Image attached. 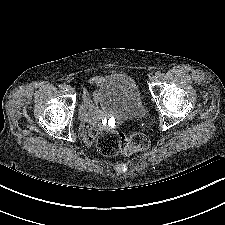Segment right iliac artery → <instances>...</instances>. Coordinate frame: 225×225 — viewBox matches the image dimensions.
Instances as JSON below:
<instances>
[{"mask_svg": "<svg viewBox=\"0 0 225 225\" xmlns=\"http://www.w3.org/2000/svg\"><path fill=\"white\" fill-rule=\"evenodd\" d=\"M61 89L67 91V90H68V85L62 84V85H61Z\"/></svg>", "mask_w": 225, "mask_h": 225, "instance_id": "1", "label": "right iliac artery"}]
</instances>
